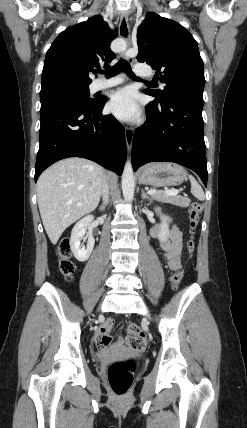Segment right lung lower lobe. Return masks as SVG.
<instances>
[{
    "instance_id": "98d812e1",
    "label": "right lung lower lobe",
    "mask_w": 247,
    "mask_h": 428,
    "mask_svg": "<svg viewBox=\"0 0 247 428\" xmlns=\"http://www.w3.org/2000/svg\"><path fill=\"white\" fill-rule=\"evenodd\" d=\"M105 102L106 97L91 106L60 103L41 107L35 181L51 164L68 157L87 158L122 174L125 132L112 115H102Z\"/></svg>"
}]
</instances>
